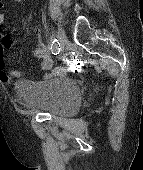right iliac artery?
<instances>
[{
    "label": "right iliac artery",
    "instance_id": "right-iliac-artery-1",
    "mask_svg": "<svg viewBox=\"0 0 143 170\" xmlns=\"http://www.w3.org/2000/svg\"><path fill=\"white\" fill-rule=\"evenodd\" d=\"M50 49L53 55H57L60 53V43L57 39H54L52 41Z\"/></svg>",
    "mask_w": 143,
    "mask_h": 170
}]
</instances>
